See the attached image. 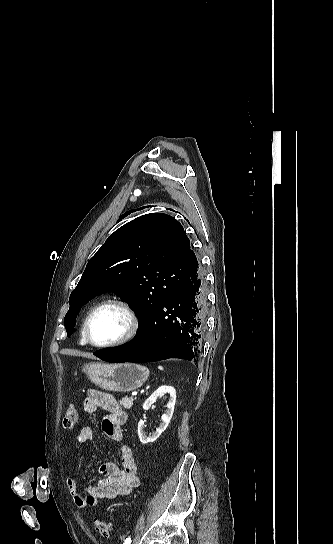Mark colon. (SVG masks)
Returning <instances> with one entry per match:
<instances>
[{"instance_id": "obj_1", "label": "colon", "mask_w": 333, "mask_h": 544, "mask_svg": "<svg viewBox=\"0 0 333 544\" xmlns=\"http://www.w3.org/2000/svg\"><path fill=\"white\" fill-rule=\"evenodd\" d=\"M78 420V411L75 405H71L67 410L63 419V425L65 428H72ZM95 531L102 537L107 538L110 534V525L103 519H95L94 521Z\"/></svg>"}]
</instances>
